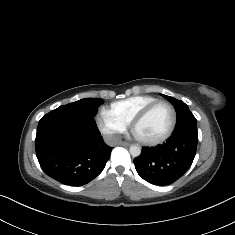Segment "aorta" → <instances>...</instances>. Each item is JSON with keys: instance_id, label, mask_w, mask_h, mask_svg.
<instances>
[{"instance_id": "obj_1", "label": "aorta", "mask_w": 235, "mask_h": 235, "mask_svg": "<svg viewBox=\"0 0 235 235\" xmlns=\"http://www.w3.org/2000/svg\"><path fill=\"white\" fill-rule=\"evenodd\" d=\"M130 154L133 157H138L141 154V148L135 145L130 146Z\"/></svg>"}]
</instances>
